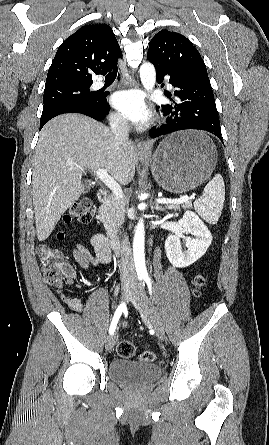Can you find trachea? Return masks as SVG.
Masks as SVG:
<instances>
[{"mask_svg":"<svg viewBox=\"0 0 269 445\" xmlns=\"http://www.w3.org/2000/svg\"><path fill=\"white\" fill-rule=\"evenodd\" d=\"M116 75H117V73H116V72H109L107 76H110V77H115Z\"/></svg>","mask_w":269,"mask_h":445,"instance_id":"3493384b","label":"trachea"}]
</instances>
